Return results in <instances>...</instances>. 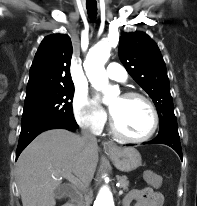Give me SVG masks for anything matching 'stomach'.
Returning <instances> with one entry per match:
<instances>
[{
    "label": "stomach",
    "instance_id": "0dacf381",
    "mask_svg": "<svg viewBox=\"0 0 197 206\" xmlns=\"http://www.w3.org/2000/svg\"><path fill=\"white\" fill-rule=\"evenodd\" d=\"M115 167L123 172H130L142 164L139 151L133 147L116 148L113 152L106 153Z\"/></svg>",
    "mask_w": 197,
    "mask_h": 206
}]
</instances>
